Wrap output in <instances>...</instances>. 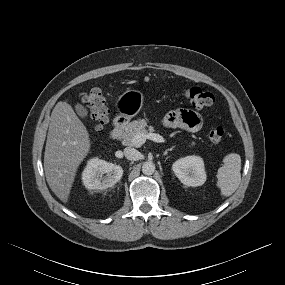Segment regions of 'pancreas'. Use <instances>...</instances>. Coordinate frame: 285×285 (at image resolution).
Here are the masks:
<instances>
[{"label": "pancreas", "mask_w": 285, "mask_h": 285, "mask_svg": "<svg viewBox=\"0 0 285 285\" xmlns=\"http://www.w3.org/2000/svg\"><path fill=\"white\" fill-rule=\"evenodd\" d=\"M148 128V129H147ZM154 128L152 126H148L145 119H138L130 122L122 135L120 136V139H122V143L124 145L132 146V138L139 134L144 133L147 134L148 132H153Z\"/></svg>", "instance_id": "cf45deb5"}]
</instances>
